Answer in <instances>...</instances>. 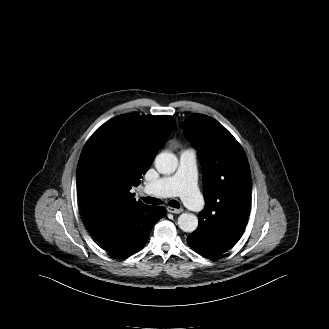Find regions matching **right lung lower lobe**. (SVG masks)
Here are the masks:
<instances>
[{
  "mask_svg": "<svg viewBox=\"0 0 329 329\" xmlns=\"http://www.w3.org/2000/svg\"><path fill=\"white\" fill-rule=\"evenodd\" d=\"M165 214L164 207L144 206L108 212L87 225L102 247L112 255L123 256L141 249L154 224Z\"/></svg>",
  "mask_w": 329,
  "mask_h": 329,
  "instance_id": "right-lung-lower-lobe-1",
  "label": "right lung lower lobe"
}]
</instances>
